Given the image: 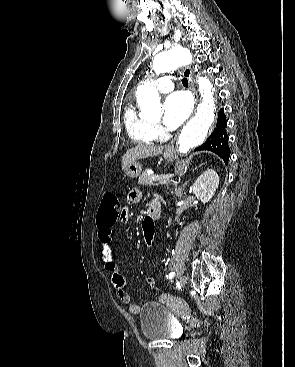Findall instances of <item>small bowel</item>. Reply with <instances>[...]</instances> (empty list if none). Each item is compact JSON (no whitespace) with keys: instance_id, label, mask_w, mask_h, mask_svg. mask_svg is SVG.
I'll list each match as a JSON object with an SVG mask.
<instances>
[{"instance_id":"1","label":"small bowel","mask_w":295,"mask_h":367,"mask_svg":"<svg viewBox=\"0 0 295 367\" xmlns=\"http://www.w3.org/2000/svg\"><path fill=\"white\" fill-rule=\"evenodd\" d=\"M128 201L130 203H136L140 199V193L138 190L133 189L129 192ZM130 214L129 208H122L119 222L128 223L129 218L127 215ZM114 223L111 224H100L97 222L98 226V238L101 243V260L104 268L107 272L111 274V283L116 290L119 300L124 304H129V311L131 313H138L140 307L137 304H130L131 297L130 294L125 290V279L120 273L119 267L114 259L113 250V237H114ZM152 282V279H149Z\"/></svg>"}]
</instances>
